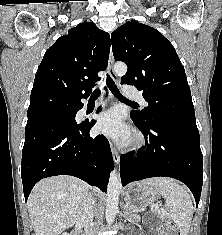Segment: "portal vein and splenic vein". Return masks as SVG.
I'll use <instances>...</instances> for the list:
<instances>
[{"mask_svg":"<svg viewBox=\"0 0 222 235\" xmlns=\"http://www.w3.org/2000/svg\"><path fill=\"white\" fill-rule=\"evenodd\" d=\"M158 209H159V206H158V205H156V206H155V210H158Z\"/></svg>","mask_w":222,"mask_h":235,"instance_id":"1","label":"portal vein and splenic vein"}]
</instances>
